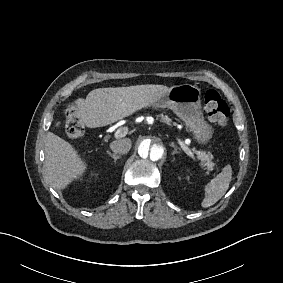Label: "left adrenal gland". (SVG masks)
Here are the masks:
<instances>
[{
	"instance_id": "obj_1",
	"label": "left adrenal gland",
	"mask_w": 283,
	"mask_h": 283,
	"mask_svg": "<svg viewBox=\"0 0 283 283\" xmlns=\"http://www.w3.org/2000/svg\"><path fill=\"white\" fill-rule=\"evenodd\" d=\"M170 146L174 148L173 152L171 153L172 155L179 153L177 146H175L173 143H171Z\"/></svg>"
}]
</instances>
